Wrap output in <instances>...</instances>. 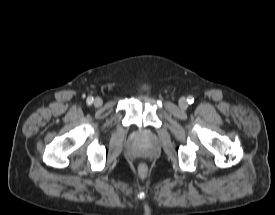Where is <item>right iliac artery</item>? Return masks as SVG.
<instances>
[{
  "instance_id": "right-iliac-artery-1",
  "label": "right iliac artery",
  "mask_w": 275,
  "mask_h": 215,
  "mask_svg": "<svg viewBox=\"0 0 275 215\" xmlns=\"http://www.w3.org/2000/svg\"><path fill=\"white\" fill-rule=\"evenodd\" d=\"M93 97H91V96H89L88 98H87V103L88 104H91L92 102H93Z\"/></svg>"
}]
</instances>
